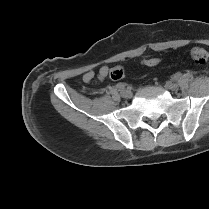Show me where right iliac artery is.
<instances>
[{"label": "right iliac artery", "mask_w": 209, "mask_h": 209, "mask_svg": "<svg viewBox=\"0 0 209 209\" xmlns=\"http://www.w3.org/2000/svg\"><path fill=\"white\" fill-rule=\"evenodd\" d=\"M125 86H126V84H124V83H118V84L116 85V87H117L118 90L124 89Z\"/></svg>", "instance_id": "obj_1"}]
</instances>
